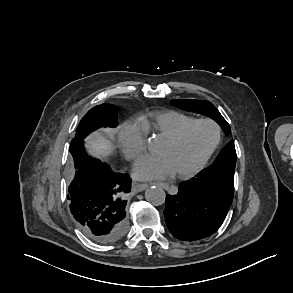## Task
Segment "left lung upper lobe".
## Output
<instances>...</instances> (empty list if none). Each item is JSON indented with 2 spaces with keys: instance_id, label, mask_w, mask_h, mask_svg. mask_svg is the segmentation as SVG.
Returning a JSON list of instances; mask_svg holds the SVG:
<instances>
[{
  "instance_id": "1",
  "label": "left lung upper lobe",
  "mask_w": 293,
  "mask_h": 293,
  "mask_svg": "<svg viewBox=\"0 0 293 293\" xmlns=\"http://www.w3.org/2000/svg\"><path fill=\"white\" fill-rule=\"evenodd\" d=\"M172 104L183 110L197 112L207 115L214 119L225 131L228 133L231 131L229 124L216 109V107L203 100H172ZM236 150L234 142L230 141L217 156L213 164L204 171L205 174L218 173V174H234L236 165Z\"/></svg>"
}]
</instances>
